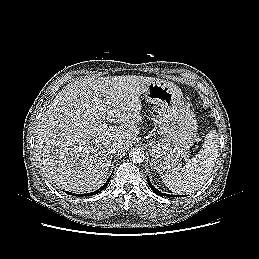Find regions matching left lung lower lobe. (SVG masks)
Masks as SVG:
<instances>
[{
    "label": "left lung lower lobe",
    "instance_id": "0a47b994",
    "mask_svg": "<svg viewBox=\"0 0 259 259\" xmlns=\"http://www.w3.org/2000/svg\"><path fill=\"white\" fill-rule=\"evenodd\" d=\"M147 182H148L149 187H150L156 194H158V195H160V196H169V197L171 196V195H169V194L161 193L158 189H156V188L151 184L149 178H148ZM173 196H174V195H173ZM174 197H175V196H174Z\"/></svg>",
    "mask_w": 259,
    "mask_h": 259
}]
</instances>
